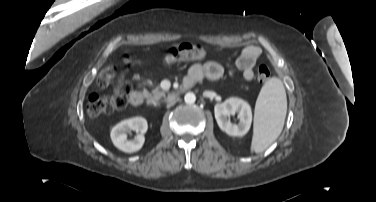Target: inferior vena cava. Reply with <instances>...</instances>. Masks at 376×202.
I'll list each match as a JSON object with an SVG mask.
<instances>
[{
  "label": "inferior vena cava",
  "mask_w": 376,
  "mask_h": 202,
  "mask_svg": "<svg viewBox=\"0 0 376 202\" xmlns=\"http://www.w3.org/2000/svg\"><path fill=\"white\" fill-rule=\"evenodd\" d=\"M173 104H174V102H170V103L168 104V107L171 106V105H173Z\"/></svg>",
  "instance_id": "obj_1"
}]
</instances>
